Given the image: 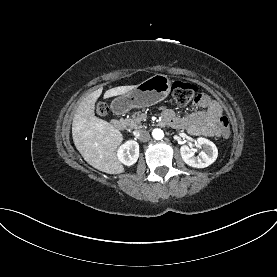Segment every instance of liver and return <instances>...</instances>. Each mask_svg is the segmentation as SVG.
<instances>
[{
  "label": "liver",
  "mask_w": 277,
  "mask_h": 277,
  "mask_svg": "<svg viewBox=\"0 0 277 277\" xmlns=\"http://www.w3.org/2000/svg\"><path fill=\"white\" fill-rule=\"evenodd\" d=\"M136 86H118L105 92L104 97L123 95ZM99 88L87 95L79 104L73 118L72 137L77 150L92 167L108 174H120L124 167L116 150L123 135L109 122L95 116V103L102 94Z\"/></svg>",
  "instance_id": "6515ba94"
}]
</instances>
